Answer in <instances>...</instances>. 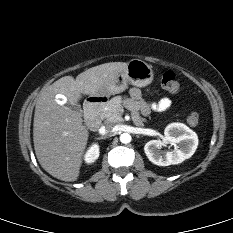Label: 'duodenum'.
<instances>
[{"label":"duodenum","mask_w":233,"mask_h":233,"mask_svg":"<svg viewBox=\"0 0 233 233\" xmlns=\"http://www.w3.org/2000/svg\"><path fill=\"white\" fill-rule=\"evenodd\" d=\"M106 102L105 98H93L85 105L84 122L90 129H95L100 124V112Z\"/></svg>","instance_id":"1"}]
</instances>
